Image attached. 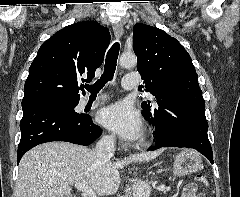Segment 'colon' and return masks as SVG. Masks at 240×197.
Here are the masks:
<instances>
[{
  "label": "colon",
  "mask_w": 240,
  "mask_h": 197,
  "mask_svg": "<svg viewBox=\"0 0 240 197\" xmlns=\"http://www.w3.org/2000/svg\"><path fill=\"white\" fill-rule=\"evenodd\" d=\"M195 179H196V181H198V182H200L202 184H205V185H207V183H208L207 178L204 175H202V174L196 175Z\"/></svg>",
  "instance_id": "obj_1"
}]
</instances>
